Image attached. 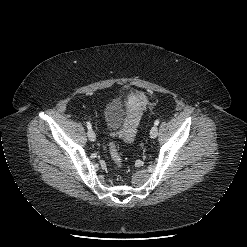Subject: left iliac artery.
<instances>
[{"instance_id": "obj_1", "label": "left iliac artery", "mask_w": 247, "mask_h": 247, "mask_svg": "<svg viewBox=\"0 0 247 247\" xmlns=\"http://www.w3.org/2000/svg\"><path fill=\"white\" fill-rule=\"evenodd\" d=\"M159 122H160V121H159L158 119H157V120H155L154 125H156V126H157V125L159 124Z\"/></svg>"}]
</instances>
